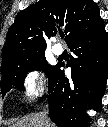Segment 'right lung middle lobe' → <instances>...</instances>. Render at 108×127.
Instances as JSON below:
<instances>
[{"instance_id": "right-lung-middle-lobe-1", "label": "right lung middle lobe", "mask_w": 108, "mask_h": 127, "mask_svg": "<svg viewBox=\"0 0 108 127\" xmlns=\"http://www.w3.org/2000/svg\"><path fill=\"white\" fill-rule=\"evenodd\" d=\"M55 67L48 64L44 53L3 64L1 66L2 97H4L11 87L22 90L24 87V78L28 72L32 70L44 71L49 79Z\"/></svg>"}]
</instances>
